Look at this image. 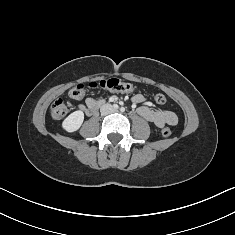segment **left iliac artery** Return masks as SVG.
<instances>
[{"mask_svg": "<svg viewBox=\"0 0 235 235\" xmlns=\"http://www.w3.org/2000/svg\"><path fill=\"white\" fill-rule=\"evenodd\" d=\"M120 111H121V112H124V111H125V108H124V107H121V108H120Z\"/></svg>", "mask_w": 235, "mask_h": 235, "instance_id": "1", "label": "left iliac artery"}]
</instances>
